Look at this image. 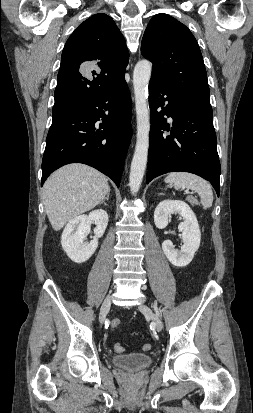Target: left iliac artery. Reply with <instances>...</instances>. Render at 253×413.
Listing matches in <instances>:
<instances>
[{"label":"left iliac artery","mask_w":253,"mask_h":413,"mask_svg":"<svg viewBox=\"0 0 253 413\" xmlns=\"http://www.w3.org/2000/svg\"><path fill=\"white\" fill-rule=\"evenodd\" d=\"M154 309H155V311H156L157 315H159V312H158L157 308H156V307H154Z\"/></svg>","instance_id":"1"}]
</instances>
